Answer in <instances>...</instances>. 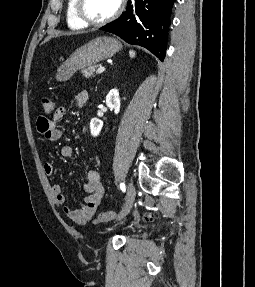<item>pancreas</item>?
<instances>
[{
    "label": "pancreas",
    "mask_w": 255,
    "mask_h": 287,
    "mask_svg": "<svg viewBox=\"0 0 255 287\" xmlns=\"http://www.w3.org/2000/svg\"><path fill=\"white\" fill-rule=\"evenodd\" d=\"M97 68H99V66H90V68H84V70H81V74H83L85 78H90V76H93V72H96Z\"/></svg>",
    "instance_id": "cf45deb5"
}]
</instances>
